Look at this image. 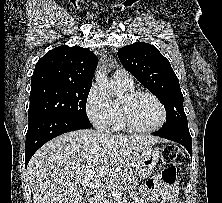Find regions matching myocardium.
Segmentation results:
<instances>
[{
  "instance_id": "1",
  "label": "myocardium",
  "mask_w": 222,
  "mask_h": 203,
  "mask_svg": "<svg viewBox=\"0 0 222 203\" xmlns=\"http://www.w3.org/2000/svg\"><path fill=\"white\" fill-rule=\"evenodd\" d=\"M150 97L151 99H153L156 104L159 106L160 110H161V120L160 122L153 126V127H148V128H144V127H140L138 126L130 113V105L132 102H134L136 99L140 98V97ZM119 109H120V114H121V118L123 120V123L125 124V126L135 132H141V133H151V132H155L157 130H159L160 128L163 127V125L166 122L167 119V112H166V108L164 106V104L161 102V100L154 95L153 93L150 92H130V93H125L124 96L120 99L119 101Z\"/></svg>"
}]
</instances>
